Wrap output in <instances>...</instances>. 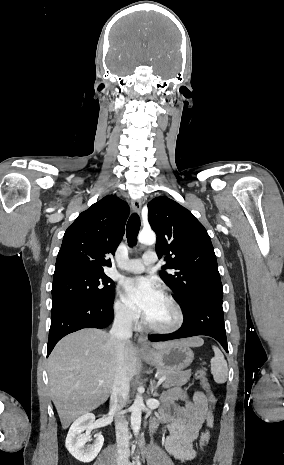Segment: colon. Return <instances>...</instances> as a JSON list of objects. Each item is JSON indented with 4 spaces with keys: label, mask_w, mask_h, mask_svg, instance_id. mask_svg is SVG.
Here are the masks:
<instances>
[{
    "label": "colon",
    "mask_w": 284,
    "mask_h": 465,
    "mask_svg": "<svg viewBox=\"0 0 284 465\" xmlns=\"http://www.w3.org/2000/svg\"><path fill=\"white\" fill-rule=\"evenodd\" d=\"M196 378L201 382L204 390L207 392L209 405L213 407L215 403V396L211 392L210 385L207 379V375L204 369L199 368L196 372ZM200 445L208 447L210 445V437L208 436L207 430L203 432ZM202 454H207V449H202ZM205 456V455H204Z\"/></svg>",
    "instance_id": "obj_1"
}]
</instances>
